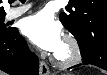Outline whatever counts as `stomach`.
Segmentation results:
<instances>
[{
    "label": "stomach",
    "mask_w": 107,
    "mask_h": 75,
    "mask_svg": "<svg viewBox=\"0 0 107 75\" xmlns=\"http://www.w3.org/2000/svg\"><path fill=\"white\" fill-rule=\"evenodd\" d=\"M65 75H74V74H65Z\"/></svg>",
    "instance_id": "0dacf381"
}]
</instances>
